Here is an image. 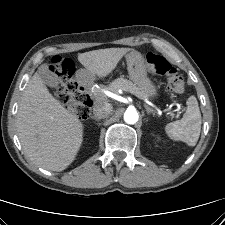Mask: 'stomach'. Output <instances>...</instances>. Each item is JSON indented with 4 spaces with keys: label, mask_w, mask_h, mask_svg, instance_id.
Wrapping results in <instances>:
<instances>
[{
    "label": "stomach",
    "mask_w": 225,
    "mask_h": 225,
    "mask_svg": "<svg viewBox=\"0 0 225 225\" xmlns=\"http://www.w3.org/2000/svg\"><path fill=\"white\" fill-rule=\"evenodd\" d=\"M127 70L130 79L145 94L146 97H158V87L148 77L145 59L140 52L130 51L126 55Z\"/></svg>",
    "instance_id": "1"
}]
</instances>
